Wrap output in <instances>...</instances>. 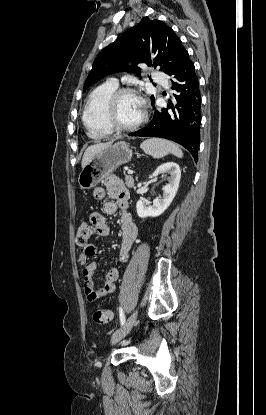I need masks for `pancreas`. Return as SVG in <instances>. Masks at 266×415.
<instances>
[{
    "mask_svg": "<svg viewBox=\"0 0 266 415\" xmlns=\"http://www.w3.org/2000/svg\"><path fill=\"white\" fill-rule=\"evenodd\" d=\"M125 184L129 188L134 186V179L131 175H125Z\"/></svg>",
    "mask_w": 266,
    "mask_h": 415,
    "instance_id": "obj_1",
    "label": "pancreas"
}]
</instances>
